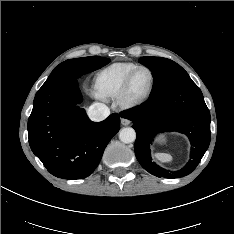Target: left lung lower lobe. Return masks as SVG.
<instances>
[{
	"mask_svg": "<svg viewBox=\"0 0 234 234\" xmlns=\"http://www.w3.org/2000/svg\"><path fill=\"white\" fill-rule=\"evenodd\" d=\"M120 115L133 122L137 160L145 170L157 177L180 178L190 174L210 143V113L201 90L191 78L152 94L144 104ZM173 130L186 134L193 146L188 164L175 172L152 162L149 148L156 133Z\"/></svg>",
	"mask_w": 234,
	"mask_h": 234,
	"instance_id": "1",
	"label": "left lung lower lobe"
}]
</instances>
